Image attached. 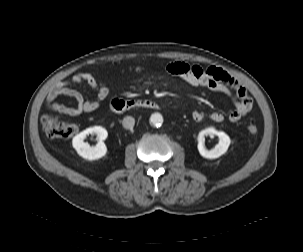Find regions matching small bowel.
I'll use <instances>...</instances> for the list:
<instances>
[{"label":"small bowel","mask_w":303,"mask_h":252,"mask_svg":"<svg viewBox=\"0 0 303 252\" xmlns=\"http://www.w3.org/2000/svg\"><path fill=\"white\" fill-rule=\"evenodd\" d=\"M166 70L191 86L203 87L232 96L235 109L229 115L231 122H237L252 109L253 102L248 90L223 71L184 62H170L166 65ZM72 83L85 84L93 91V97L85 99L80 92L70 88ZM58 94H66L75 98L77 106L67 107L63 104H52L50 108L59 114L77 117L84 112H91L102 107L107 102L110 90L106 84L98 81L90 73L79 72L69 79L59 81L50 91L47 100H52ZM117 100L113 99L111 106ZM206 117L207 115L202 111L196 110L192 112V119L197 123L204 121ZM208 117L216 123L224 120V115L220 112H212Z\"/></svg>","instance_id":"1"}]
</instances>
